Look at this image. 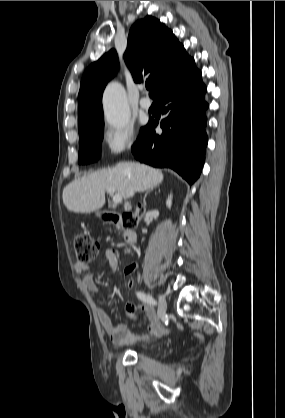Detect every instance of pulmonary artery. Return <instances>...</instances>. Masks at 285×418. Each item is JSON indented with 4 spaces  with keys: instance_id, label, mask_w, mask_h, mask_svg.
Here are the masks:
<instances>
[{
    "instance_id": "1",
    "label": "pulmonary artery",
    "mask_w": 285,
    "mask_h": 418,
    "mask_svg": "<svg viewBox=\"0 0 285 418\" xmlns=\"http://www.w3.org/2000/svg\"><path fill=\"white\" fill-rule=\"evenodd\" d=\"M142 91L145 92V88H142ZM139 105L143 110H149L152 102L148 97L144 96L139 100Z\"/></svg>"
}]
</instances>
